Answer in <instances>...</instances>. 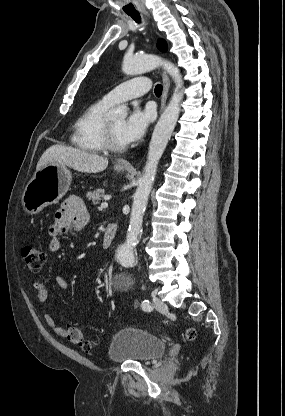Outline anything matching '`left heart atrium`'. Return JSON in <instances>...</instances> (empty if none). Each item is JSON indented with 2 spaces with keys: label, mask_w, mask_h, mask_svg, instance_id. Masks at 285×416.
Segmentation results:
<instances>
[{
  "label": "left heart atrium",
  "mask_w": 285,
  "mask_h": 416,
  "mask_svg": "<svg viewBox=\"0 0 285 416\" xmlns=\"http://www.w3.org/2000/svg\"><path fill=\"white\" fill-rule=\"evenodd\" d=\"M150 120L151 113L149 110L143 111L139 107H134L120 128V137L123 144L129 145L138 141L144 135Z\"/></svg>",
  "instance_id": "obj_1"
}]
</instances>
